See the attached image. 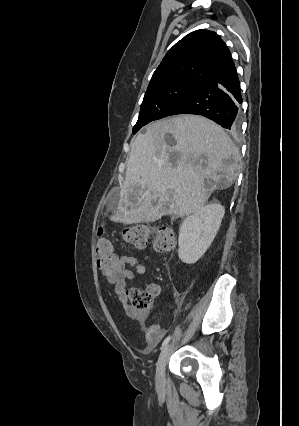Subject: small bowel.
Masks as SVG:
<instances>
[{
  "label": "small bowel",
  "mask_w": 299,
  "mask_h": 426,
  "mask_svg": "<svg viewBox=\"0 0 299 426\" xmlns=\"http://www.w3.org/2000/svg\"><path fill=\"white\" fill-rule=\"evenodd\" d=\"M119 262L122 265V270L116 274H108L99 265L101 274L106 278V281L114 285V291L121 303H123L125 312L130 318H136L139 316L136 310L127 304V284L134 277V273L145 275L147 269L145 265L134 255H123L118 257ZM128 265L130 268H125ZM149 291L154 297L160 294V288L156 284H151L148 287ZM144 319V318H143ZM166 329L162 325H154L146 331V348L145 352L150 351L155 347L161 339L165 336Z\"/></svg>",
  "instance_id": "small-bowel-1"
}]
</instances>
